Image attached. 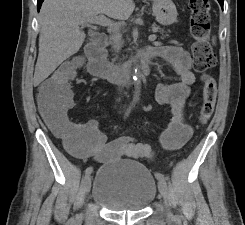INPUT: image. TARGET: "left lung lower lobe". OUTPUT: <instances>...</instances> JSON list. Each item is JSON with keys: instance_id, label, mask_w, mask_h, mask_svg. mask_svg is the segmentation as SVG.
Here are the masks:
<instances>
[{"instance_id": "obj_1", "label": "left lung lower lobe", "mask_w": 245, "mask_h": 225, "mask_svg": "<svg viewBox=\"0 0 245 225\" xmlns=\"http://www.w3.org/2000/svg\"><path fill=\"white\" fill-rule=\"evenodd\" d=\"M218 2L220 3L222 9H223V3H224V0H218Z\"/></svg>"}]
</instances>
